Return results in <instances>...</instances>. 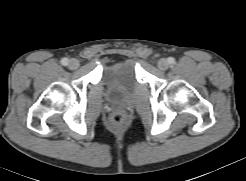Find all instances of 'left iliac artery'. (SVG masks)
Instances as JSON below:
<instances>
[{
	"instance_id": "left-iliac-artery-1",
	"label": "left iliac artery",
	"mask_w": 246,
	"mask_h": 181,
	"mask_svg": "<svg viewBox=\"0 0 246 181\" xmlns=\"http://www.w3.org/2000/svg\"><path fill=\"white\" fill-rule=\"evenodd\" d=\"M168 62L170 64H174L175 63V59L173 57H170V58H168Z\"/></svg>"
}]
</instances>
